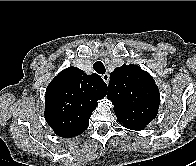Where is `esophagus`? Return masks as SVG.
Returning <instances> with one entry per match:
<instances>
[{"label":"esophagus","mask_w":196,"mask_h":166,"mask_svg":"<svg viewBox=\"0 0 196 166\" xmlns=\"http://www.w3.org/2000/svg\"><path fill=\"white\" fill-rule=\"evenodd\" d=\"M102 79L104 80V82L106 84H108L109 83V74L108 73L103 74Z\"/></svg>","instance_id":"esophagus-1"}]
</instances>
